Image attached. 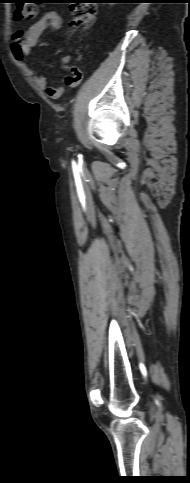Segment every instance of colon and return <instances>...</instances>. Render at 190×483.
<instances>
[{
  "mask_svg": "<svg viewBox=\"0 0 190 483\" xmlns=\"http://www.w3.org/2000/svg\"><path fill=\"white\" fill-rule=\"evenodd\" d=\"M38 0H17L14 15L17 19L33 18L38 10ZM71 26L74 28L89 27L96 18V7L94 4L84 0H74L72 2ZM74 79L67 76L64 79L66 85H71Z\"/></svg>",
  "mask_w": 190,
  "mask_h": 483,
  "instance_id": "1",
  "label": "colon"
}]
</instances>
